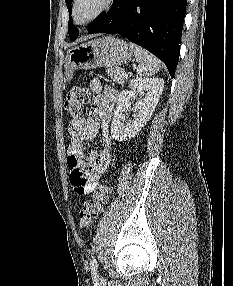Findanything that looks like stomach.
<instances>
[{"instance_id": "stomach-1", "label": "stomach", "mask_w": 233, "mask_h": 286, "mask_svg": "<svg viewBox=\"0 0 233 286\" xmlns=\"http://www.w3.org/2000/svg\"><path fill=\"white\" fill-rule=\"evenodd\" d=\"M127 43L114 37H103L68 50L65 60V78L70 81L78 69L97 67L116 68L131 59Z\"/></svg>"}]
</instances>
